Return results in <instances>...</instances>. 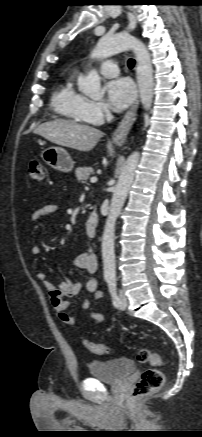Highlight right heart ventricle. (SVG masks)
<instances>
[{
    "label": "right heart ventricle",
    "mask_w": 202,
    "mask_h": 437,
    "mask_svg": "<svg viewBox=\"0 0 202 437\" xmlns=\"http://www.w3.org/2000/svg\"><path fill=\"white\" fill-rule=\"evenodd\" d=\"M87 98L74 85V75L67 77L51 98V106L56 114L75 122L87 123L84 104Z\"/></svg>",
    "instance_id": "1"
}]
</instances>
